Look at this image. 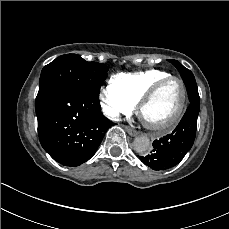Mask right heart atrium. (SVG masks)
<instances>
[{
	"label": "right heart atrium",
	"mask_w": 229,
	"mask_h": 229,
	"mask_svg": "<svg viewBox=\"0 0 229 229\" xmlns=\"http://www.w3.org/2000/svg\"><path fill=\"white\" fill-rule=\"evenodd\" d=\"M99 104L105 115L112 120H117L120 114L128 115L137 109V101L122 92L113 81L101 88Z\"/></svg>",
	"instance_id": "d8ad5b80"
}]
</instances>
